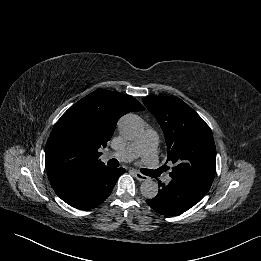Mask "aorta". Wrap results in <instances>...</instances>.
Segmentation results:
<instances>
[{
    "mask_svg": "<svg viewBox=\"0 0 261 261\" xmlns=\"http://www.w3.org/2000/svg\"><path fill=\"white\" fill-rule=\"evenodd\" d=\"M119 133L128 140H134L142 133V121L137 115L123 116L118 123ZM158 184L152 179H145L141 186V194L148 199H153L158 194Z\"/></svg>",
    "mask_w": 261,
    "mask_h": 261,
    "instance_id": "obj_1",
    "label": "aorta"
}]
</instances>
